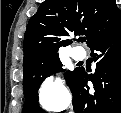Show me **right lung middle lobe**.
I'll list each match as a JSON object with an SVG mask.
<instances>
[{
	"mask_svg": "<svg viewBox=\"0 0 121 113\" xmlns=\"http://www.w3.org/2000/svg\"><path fill=\"white\" fill-rule=\"evenodd\" d=\"M59 56L53 55L45 57L34 64L24 68L23 88L25 93L24 113H45L39 108L37 100V92L43 80L56 72L65 71L61 68ZM74 71H66L64 76L66 81L70 79Z\"/></svg>",
	"mask_w": 121,
	"mask_h": 113,
	"instance_id": "obj_1",
	"label": "right lung middle lobe"
}]
</instances>
